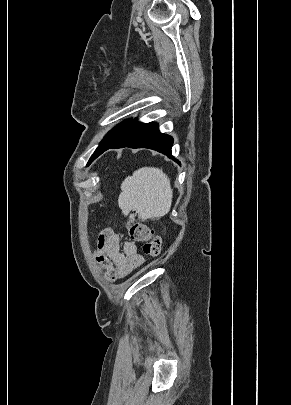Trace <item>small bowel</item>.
Returning <instances> with one entry per match:
<instances>
[{
  "label": "small bowel",
  "instance_id": "small-bowel-1",
  "mask_svg": "<svg viewBox=\"0 0 291 405\" xmlns=\"http://www.w3.org/2000/svg\"><path fill=\"white\" fill-rule=\"evenodd\" d=\"M121 239V233L107 228L99 235L94 252L95 261L105 270V276L111 282L127 276L144 262L136 244L125 242L121 245Z\"/></svg>",
  "mask_w": 291,
  "mask_h": 405
}]
</instances>
